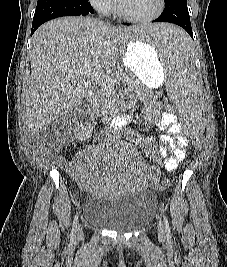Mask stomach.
Masks as SVG:
<instances>
[{"label":"stomach","instance_id":"obj_1","mask_svg":"<svg viewBox=\"0 0 227 267\" xmlns=\"http://www.w3.org/2000/svg\"><path fill=\"white\" fill-rule=\"evenodd\" d=\"M124 65L138 77L147 87H158L166 76L165 59H159L155 47H147V43L126 42L123 54Z\"/></svg>","mask_w":227,"mask_h":267}]
</instances>
